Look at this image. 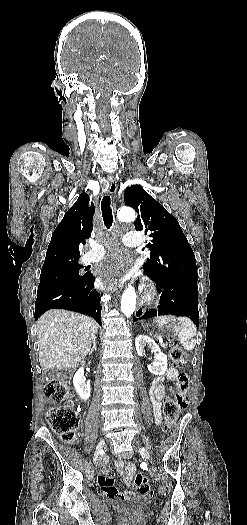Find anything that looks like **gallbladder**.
I'll return each mask as SVG.
<instances>
[{
  "label": "gallbladder",
  "mask_w": 247,
  "mask_h": 525,
  "mask_svg": "<svg viewBox=\"0 0 247 525\" xmlns=\"http://www.w3.org/2000/svg\"><path fill=\"white\" fill-rule=\"evenodd\" d=\"M59 372L68 374L70 372V369L68 367H65V368L59 369ZM56 375H59V373H57V371H54V369H51V372L48 374V377L50 379H56Z\"/></svg>",
  "instance_id": "1"
}]
</instances>
